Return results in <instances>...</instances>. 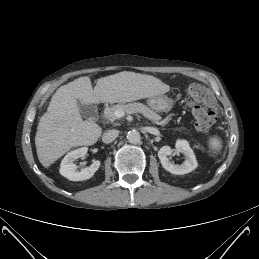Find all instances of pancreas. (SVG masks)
I'll use <instances>...</instances> for the list:
<instances>
[{
	"instance_id": "1",
	"label": "pancreas",
	"mask_w": 259,
	"mask_h": 259,
	"mask_svg": "<svg viewBox=\"0 0 259 259\" xmlns=\"http://www.w3.org/2000/svg\"><path fill=\"white\" fill-rule=\"evenodd\" d=\"M117 110H123L124 112L128 113L139 112L143 116L151 120L153 123H157L161 120V116L159 114L139 102L114 105L113 107H110L105 111L106 118L109 121L114 122L117 119V117L115 116V111Z\"/></svg>"
}]
</instances>
